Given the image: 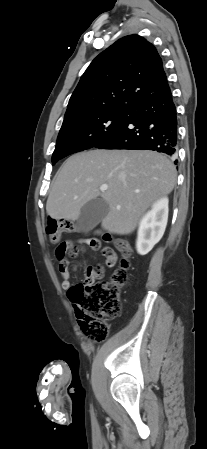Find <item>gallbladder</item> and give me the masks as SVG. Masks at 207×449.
<instances>
[{
  "label": "gallbladder",
  "instance_id": "bac80fb5",
  "mask_svg": "<svg viewBox=\"0 0 207 449\" xmlns=\"http://www.w3.org/2000/svg\"><path fill=\"white\" fill-rule=\"evenodd\" d=\"M109 206L102 198H95L87 202L77 219L78 227L83 232L94 229L108 214Z\"/></svg>",
  "mask_w": 207,
  "mask_h": 449
}]
</instances>
